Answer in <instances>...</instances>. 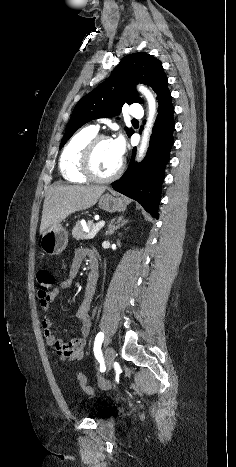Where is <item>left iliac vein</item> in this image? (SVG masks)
Wrapping results in <instances>:
<instances>
[{
    "label": "left iliac vein",
    "mask_w": 236,
    "mask_h": 467,
    "mask_svg": "<svg viewBox=\"0 0 236 467\" xmlns=\"http://www.w3.org/2000/svg\"><path fill=\"white\" fill-rule=\"evenodd\" d=\"M105 363H106V366L108 368V370H110L113 366V362L115 360V351L112 347H107L106 350H105Z\"/></svg>",
    "instance_id": "1"
}]
</instances>
